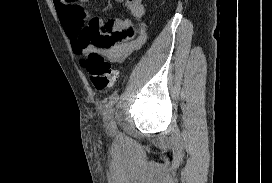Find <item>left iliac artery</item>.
<instances>
[{
  "label": "left iliac artery",
  "instance_id": "left-iliac-artery-1",
  "mask_svg": "<svg viewBox=\"0 0 272 183\" xmlns=\"http://www.w3.org/2000/svg\"><path fill=\"white\" fill-rule=\"evenodd\" d=\"M118 99H119V96L117 93L111 95L109 105L111 106L114 105L118 101Z\"/></svg>",
  "mask_w": 272,
  "mask_h": 183
}]
</instances>
